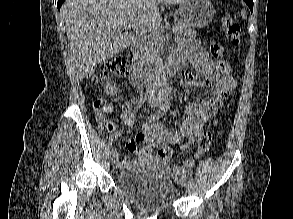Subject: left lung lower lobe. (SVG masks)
Segmentation results:
<instances>
[{"instance_id": "0a47b994", "label": "left lung lower lobe", "mask_w": 293, "mask_h": 219, "mask_svg": "<svg viewBox=\"0 0 293 219\" xmlns=\"http://www.w3.org/2000/svg\"><path fill=\"white\" fill-rule=\"evenodd\" d=\"M246 4L249 6L251 13L253 11V0H244Z\"/></svg>"}]
</instances>
